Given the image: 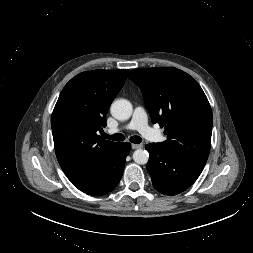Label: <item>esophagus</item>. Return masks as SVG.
<instances>
[{
  "mask_svg": "<svg viewBox=\"0 0 253 253\" xmlns=\"http://www.w3.org/2000/svg\"><path fill=\"white\" fill-rule=\"evenodd\" d=\"M132 149H139V148H142V144H132L131 145Z\"/></svg>",
  "mask_w": 253,
  "mask_h": 253,
  "instance_id": "esophagus-1",
  "label": "esophagus"
}]
</instances>
